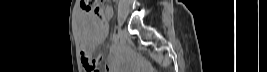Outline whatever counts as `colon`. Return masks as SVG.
<instances>
[{"label":"colon","mask_w":267,"mask_h":72,"mask_svg":"<svg viewBox=\"0 0 267 72\" xmlns=\"http://www.w3.org/2000/svg\"><path fill=\"white\" fill-rule=\"evenodd\" d=\"M82 10L91 13L95 17V23L99 31L105 30L106 22L104 18V12L101 7L103 3L102 0H81ZM100 60L97 58H92L88 60L87 70L89 72H100L99 67Z\"/></svg>","instance_id":"colon-1"}]
</instances>
